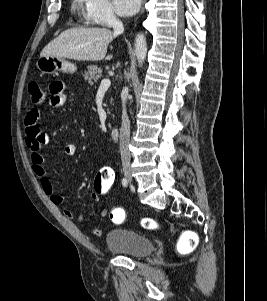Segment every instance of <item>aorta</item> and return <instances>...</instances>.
<instances>
[{"instance_id": "1", "label": "aorta", "mask_w": 267, "mask_h": 301, "mask_svg": "<svg viewBox=\"0 0 267 301\" xmlns=\"http://www.w3.org/2000/svg\"><path fill=\"white\" fill-rule=\"evenodd\" d=\"M134 48L138 64L142 66L147 53V43L144 34L140 33L136 36Z\"/></svg>"}]
</instances>
